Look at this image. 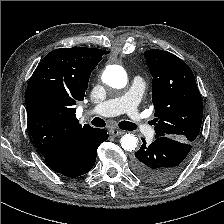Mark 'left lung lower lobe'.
Returning a JSON list of instances; mask_svg holds the SVG:
<instances>
[{
    "instance_id": "left-lung-lower-lobe-1",
    "label": "left lung lower lobe",
    "mask_w": 224,
    "mask_h": 224,
    "mask_svg": "<svg viewBox=\"0 0 224 224\" xmlns=\"http://www.w3.org/2000/svg\"><path fill=\"white\" fill-rule=\"evenodd\" d=\"M135 153L132 167L142 180L154 184L166 183L175 178L188 161L192 144L168 137H159Z\"/></svg>"
}]
</instances>
